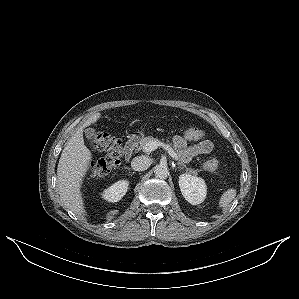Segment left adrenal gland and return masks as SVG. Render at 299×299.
Here are the masks:
<instances>
[{
  "mask_svg": "<svg viewBox=\"0 0 299 299\" xmlns=\"http://www.w3.org/2000/svg\"><path fill=\"white\" fill-rule=\"evenodd\" d=\"M179 168H180V169H183V168H184V165H183V166H182V165H181V166H179Z\"/></svg>",
  "mask_w": 299,
  "mask_h": 299,
  "instance_id": "obj_1",
  "label": "left adrenal gland"
}]
</instances>
